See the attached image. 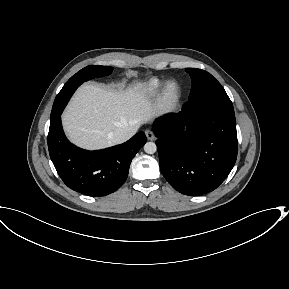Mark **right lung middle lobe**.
Masks as SVG:
<instances>
[{"label": "right lung middle lobe", "instance_id": "right-lung-middle-lobe-1", "mask_svg": "<svg viewBox=\"0 0 289 289\" xmlns=\"http://www.w3.org/2000/svg\"><path fill=\"white\" fill-rule=\"evenodd\" d=\"M113 70V67H105V66H87L83 69H81L79 72H77L74 76H72L68 82L63 86L62 90L58 93V95L55 98L51 117L50 120H53L59 113L63 111V108L61 107L63 105V101L67 97V93L69 92V89L76 83H79L81 85L83 82L88 81L95 77H101L111 74Z\"/></svg>", "mask_w": 289, "mask_h": 289}]
</instances>
